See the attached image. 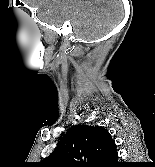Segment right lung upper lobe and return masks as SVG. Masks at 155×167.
Here are the masks:
<instances>
[{"instance_id": "cb5924a9", "label": "right lung upper lobe", "mask_w": 155, "mask_h": 167, "mask_svg": "<svg viewBox=\"0 0 155 167\" xmlns=\"http://www.w3.org/2000/svg\"><path fill=\"white\" fill-rule=\"evenodd\" d=\"M116 144L101 126L76 125L68 129L43 167H115Z\"/></svg>"}]
</instances>
